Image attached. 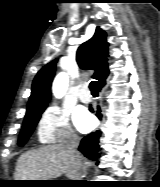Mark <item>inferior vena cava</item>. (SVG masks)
Returning a JSON list of instances; mask_svg holds the SVG:
<instances>
[{
	"label": "inferior vena cava",
	"mask_w": 160,
	"mask_h": 187,
	"mask_svg": "<svg viewBox=\"0 0 160 187\" xmlns=\"http://www.w3.org/2000/svg\"><path fill=\"white\" fill-rule=\"evenodd\" d=\"M78 145H79L78 137L75 134L71 133L68 136L67 141L65 142V148L67 152L73 156V158L75 159L78 165V178L77 179H80L82 178V173H81L82 166H81L80 155H79V152L77 151Z\"/></svg>",
	"instance_id": "obj_1"
}]
</instances>
